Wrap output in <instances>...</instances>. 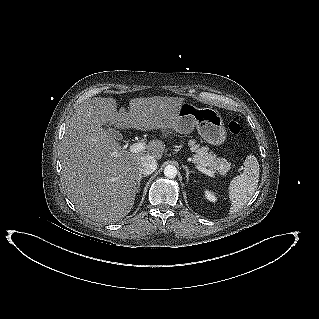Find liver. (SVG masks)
Here are the masks:
<instances>
[{"label": "liver", "instance_id": "obj_1", "mask_svg": "<svg viewBox=\"0 0 319 319\" xmlns=\"http://www.w3.org/2000/svg\"><path fill=\"white\" fill-rule=\"evenodd\" d=\"M178 97H147L130 100V112L117 111L113 98H92L80 106L67 124L60 146L61 180L66 195L84 216L98 222H116L132 209L140 178L139 163L146 156L161 159L165 145L149 142L132 153L102 128L160 130L163 137L175 131Z\"/></svg>", "mask_w": 319, "mask_h": 319}]
</instances>
